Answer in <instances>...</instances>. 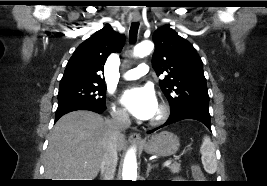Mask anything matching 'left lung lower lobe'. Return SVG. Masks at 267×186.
Wrapping results in <instances>:
<instances>
[{"mask_svg":"<svg viewBox=\"0 0 267 186\" xmlns=\"http://www.w3.org/2000/svg\"><path fill=\"white\" fill-rule=\"evenodd\" d=\"M184 119H193L202 122L208 129L211 130V117L209 110L202 108H185L177 112H171L168 121L163 125H169ZM158 128L149 131V133L154 132Z\"/></svg>","mask_w":267,"mask_h":186,"instance_id":"1","label":"left lung lower lobe"}]
</instances>
